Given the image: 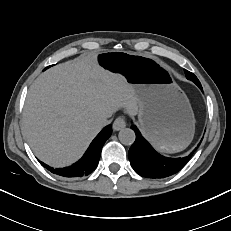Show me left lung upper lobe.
<instances>
[{
    "label": "left lung upper lobe",
    "mask_w": 231,
    "mask_h": 231,
    "mask_svg": "<svg viewBox=\"0 0 231 231\" xmlns=\"http://www.w3.org/2000/svg\"><path fill=\"white\" fill-rule=\"evenodd\" d=\"M185 74H186L187 79L193 81L199 88L202 87L199 80L197 79V77L193 73L185 70Z\"/></svg>",
    "instance_id": "1"
}]
</instances>
